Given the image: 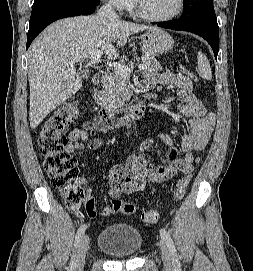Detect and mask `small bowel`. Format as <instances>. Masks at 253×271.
Segmentation results:
<instances>
[{"label": "small bowel", "mask_w": 253, "mask_h": 271, "mask_svg": "<svg viewBox=\"0 0 253 271\" xmlns=\"http://www.w3.org/2000/svg\"><path fill=\"white\" fill-rule=\"evenodd\" d=\"M170 86L177 89L180 103L178 109L188 119L187 130L182 138L181 150L183 156L173 146L172 138L166 133H158L154 138H149L141 143L140 149L145 152L150 149L155 140L168 146L166 162L155 164L144 156H130L125 164H117L108 173L109 194L115 198L122 193L133 194L145 189L148 181L164 182L171 178L177 171L184 175H191L194 163L199 158L195 153H200L206 147L215 127L216 118L209 112L203 103L193 93L191 76L164 71L148 75L146 89L151 90L156 85ZM107 128L101 123L88 120L82 123L81 128L70 131L68 138L70 144L66 150L71 154H78L83 148V142L88 143L92 150L100 148L104 141L98 138V132H106ZM113 214L110 207L97 210L94 206L91 217L98 215L108 217Z\"/></svg>", "instance_id": "c3829d8e"}]
</instances>
